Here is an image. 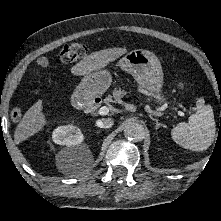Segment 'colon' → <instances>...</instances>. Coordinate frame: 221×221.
Segmentation results:
<instances>
[{
  "mask_svg": "<svg viewBox=\"0 0 221 221\" xmlns=\"http://www.w3.org/2000/svg\"><path fill=\"white\" fill-rule=\"evenodd\" d=\"M87 55V48L85 45L77 42L65 44L56 55L57 61L61 63H72L84 58ZM23 111L20 107L11 109L10 117L13 121L21 119Z\"/></svg>",
  "mask_w": 221,
  "mask_h": 221,
  "instance_id": "5ec220e1",
  "label": "colon"
}]
</instances>
